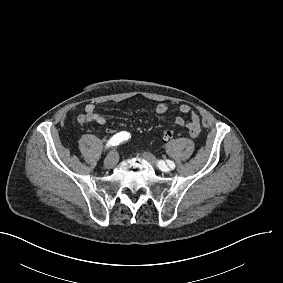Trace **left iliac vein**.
<instances>
[{"mask_svg": "<svg viewBox=\"0 0 283 283\" xmlns=\"http://www.w3.org/2000/svg\"><path fill=\"white\" fill-rule=\"evenodd\" d=\"M142 156L151 164H156L159 166V168L162 170V171H165V172H169L170 171V168L167 167L164 163H162L161 165L158 164L156 158L148 153V152H142Z\"/></svg>", "mask_w": 283, "mask_h": 283, "instance_id": "1", "label": "left iliac vein"}]
</instances>
